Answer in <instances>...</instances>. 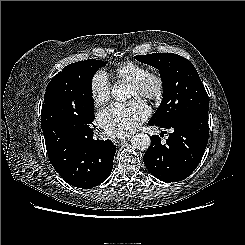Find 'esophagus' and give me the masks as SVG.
<instances>
[{"mask_svg": "<svg viewBox=\"0 0 245 245\" xmlns=\"http://www.w3.org/2000/svg\"><path fill=\"white\" fill-rule=\"evenodd\" d=\"M128 139H130V136H128ZM125 141V139L115 140V143L122 144Z\"/></svg>", "mask_w": 245, "mask_h": 245, "instance_id": "34e87169", "label": "esophagus"}]
</instances>
